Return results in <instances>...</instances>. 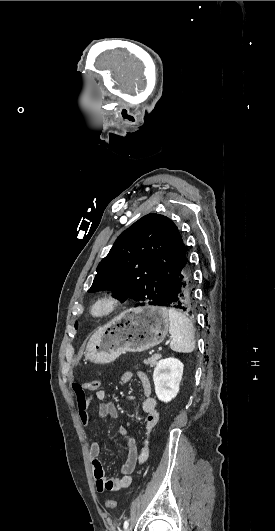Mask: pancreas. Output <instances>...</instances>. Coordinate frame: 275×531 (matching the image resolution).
I'll use <instances>...</instances> for the list:
<instances>
[{"label":"pancreas","mask_w":275,"mask_h":531,"mask_svg":"<svg viewBox=\"0 0 275 531\" xmlns=\"http://www.w3.org/2000/svg\"><path fill=\"white\" fill-rule=\"evenodd\" d=\"M159 359H161V355H152L150 359H144L145 365H149V367H155L157 365Z\"/></svg>","instance_id":"obj_1"}]
</instances>
